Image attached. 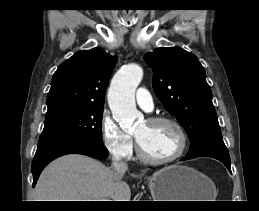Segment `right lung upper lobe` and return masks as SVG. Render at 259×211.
I'll return each mask as SVG.
<instances>
[{
    "label": "right lung upper lobe",
    "mask_w": 259,
    "mask_h": 211,
    "mask_svg": "<svg viewBox=\"0 0 259 211\" xmlns=\"http://www.w3.org/2000/svg\"><path fill=\"white\" fill-rule=\"evenodd\" d=\"M115 62L116 57L98 47L64 61L52 78L45 121L87 107H103Z\"/></svg>",
    "instance_id": "1"
}]
</instances>
